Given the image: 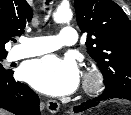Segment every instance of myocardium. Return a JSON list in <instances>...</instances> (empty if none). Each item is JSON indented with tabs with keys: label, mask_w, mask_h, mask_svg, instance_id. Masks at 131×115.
Masks as SVG:
<instances>
[{
	"label": "myocardium",
	"mask_w": 131,
	"mask_h": 115,
	"mask_svg": "<svg viewBox=\"0 0 131 115\" xmlns=\"http://www.w3.org/2000/svg\"><path fill=\"white\" fill-rule=\"evenodd\" d=\"M104 81L103 72L97 67H92L84 74L83 90L86 93H95L103 87Z\"/></svg>",
	"instance_id": "1"
}]
</instances>
